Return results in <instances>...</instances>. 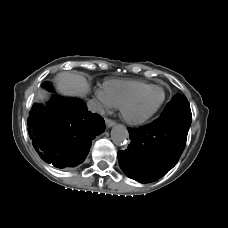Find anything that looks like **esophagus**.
Listing matches in <instances>:
<instances>
[{"instance_id": "esophagus-1", "label": "esophagus", "mask_w": 228, "mask_h": 228, "mask_svg": "<svg viewBox=\"0 0 228 228\" xmlns=\"http://www.w3.org/2000/svg\"><path fill=\"white\" fill-rule=\"evenodd\" d=\"M105 124H106V127H107V128H110V127H112V126L115 125V121L107 118V119L105 120Z\"/></svg>"}]
</instances>
